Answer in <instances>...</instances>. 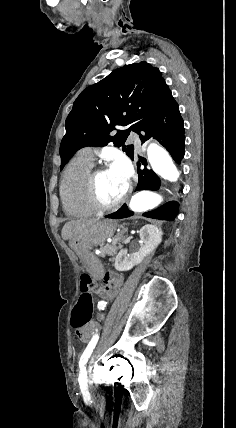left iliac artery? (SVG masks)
<instances>
[{
  "mask_svg": "<svg viewBox=\"0 0 236 428\" xmlns=\"http://www.w3.org/2000/svg\"><path fill=\"white\" fill-rule=\"evenodd\" d=\"M106 302L101 301L98 303V308L104 310V307L106 306ZM99 336L98 334H95L91 341L89 342L87 348L83 352L80 361H79V367H80V374L79 377H87V371H86V363L88 361V358L91 356L93 349L95 348L97 342H98Z\"/></svg>",
  "mask_w": 236,
  "mask_h": 428,
  "instance_id": "obj_1",
  "label": "left iliac artery"
}]
</instances>
